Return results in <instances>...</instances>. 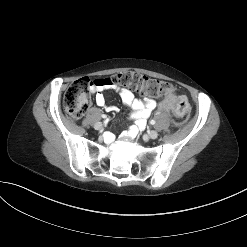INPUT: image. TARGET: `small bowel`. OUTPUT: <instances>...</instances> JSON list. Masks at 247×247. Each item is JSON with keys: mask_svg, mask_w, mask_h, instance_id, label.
<instances>
[{"mask_svg": "<svg viewBox=\"0 0 247 247\" xmlns=\"http://www.w3.org/2000/svg\"><path fill=\"white\" fill-rule=\"evenodd\" d=\"M107 89H113L119 92L123 103L131 110V117L135 120V124L127 130L125 135L127 137H134L139 130L145 128L148 117L150 116L151 112L157 107V102L151 97L136 99L129 89L117 85H111L108 83L93 85L91 87V91L95 94L96 104L100 107L105 108L107 111L115 110L114 106L106 104L104 91ZM106 140L109 141L110 139L106 138Z\"/></svg>", "mask_w": 247, "mask_h": 247, "instance_id": "small-bowel-1", "label": "small bowel"}]
</instances>
